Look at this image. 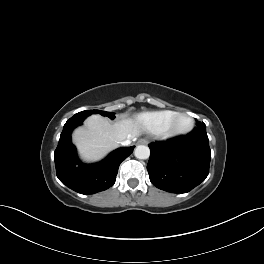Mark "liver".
<instances>
[{
    "label": "liver",
    "instance_id": "6515ba94",
    "mask_svg": "<svg viewBox=\"0 0 264 264\" xmlns=\"http://www.w3.org/2000/svg\"><path fill=\"white\" fill-rule=\"evenodd\" d=\"M141 133L138 121L123 119L111 124L100 115H91L84 127L77 128L73 133V142L84 160L96 161L113 150L127 139H134Z\"/></svg>",
    "mask_w": 264,
    "mask_h": 264
}]
</instances>
